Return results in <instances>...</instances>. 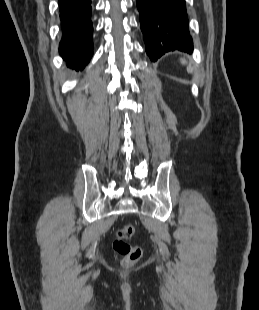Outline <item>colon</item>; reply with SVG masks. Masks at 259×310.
<instances>
[{"label": "colon", "mask_w": 259, "mask_h": 310, "mask_svg": "<svg viewBox=\"0 0 259 310\" xmlns=\"http://www.w3.org/2000/svg\"><path fill=\"white\" fill-rule=\"evenodd\" d=\"M134 234V227L130 224L123 225L112 241L113 250L122 256L124 266H132L138 262L143 254V250L138 245H132L128 239Z\"/></svg>", "instance_id": "1"}]
</instances>
